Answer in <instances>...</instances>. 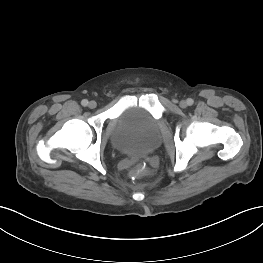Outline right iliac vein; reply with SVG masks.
Segmentation results:
<instances>
[{
	"instance_id": "63e3f726",
	"label": "right iliac vein",
	"mask_w": 263,
	"mask_h": 263,
	"mask_svg": "<svg viewBox=\"0 0 263 263\" xmlns=\"http://www.w3.org/2000/svg\"><path fill=\"white\" fill-rule=\"evenodd\" d=\"M97 106V103L95 101H90L89 104H88V107L93 109Z\"/></svg>"
}]
</instances>
